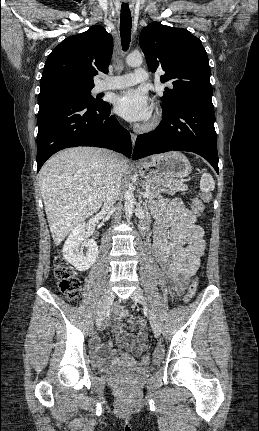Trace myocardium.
<instances>
[{
	"mask_svg": "<svg viewBox=\"0 0 259 431\" xmlns=\"http://www.w3.org/2000/svg\"><path fill=\"white\" fill-rule=\"evenodd\" d=\"M161 122V114L155 112L152 117L143 125L142 129L146 131L154 130L159 126Z\"/></svg>",
	"mask_w": 259,
	"mask_h": 431,
	"instance_id": "f54148a6",
	"label": "myocardium"
}]
</instances>
